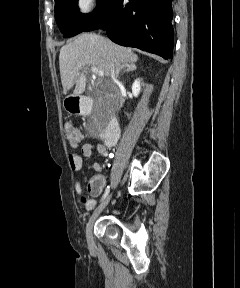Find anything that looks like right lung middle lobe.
Wrapping results in <instances>:
<instances>
[{
    "label": "right lung middle lobe",
    "instance_id": "dd1d6c3e",
    "mask_svg": "<svg viewBox=\"0 0 240 288\" xmlns=\"http://www.w3.org/2000/svg\"><path fill=\"white\" fill-rule=\"evenodd\" d=\"M109 0H98L96 9L82 14L77 9L78 0H55V19L63 37H71L84 31L105 9Z\"/></svg>",
    "mask_w": 240,
    "mask_h": 288
}]
</instances>
